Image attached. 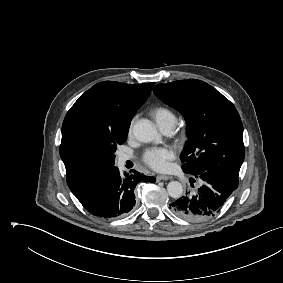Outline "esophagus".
<instances>
[{"label": "esophagus", "instance_id": "esophagus-1", "mask_svg": "<svg viewBox=\"0 0 283 283\" xmlns=\"http://www.w3.org/2000/svg\"><path fill=\"white\" fill-rule=\"evenodd\" d=\"M156 179H157V181H161V180H169V179H170V177H169V176H167V175H158V176L156 177Z\"/></svg>", "mask_w": 283, "mask_h": 283}]
</instances>
